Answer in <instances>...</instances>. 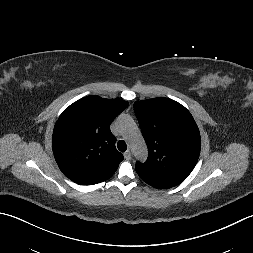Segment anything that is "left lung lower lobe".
Listing matches in <instances>:
<instances>
[{
	"label": "left lung lower lobe",
	"instance_id": "obj_1",
	"mask_svg": "<svg viewBox=\"0 0 253 253\" xmlns=\"http://www.w3.org/2000/svg\"><path fill=\"white\" fill-rule=\"evenodd\" d=\"M153 187H155V188H170V186H164V185H155Z\"/></svg>",
	"mask_w": 253,
	"mask_h": 253
}]
</instances>
